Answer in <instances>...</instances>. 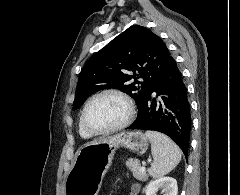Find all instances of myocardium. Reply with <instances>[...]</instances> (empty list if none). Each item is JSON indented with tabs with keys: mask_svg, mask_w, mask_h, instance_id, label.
Returning a JSON list of instances; mask_svg holds the SVG:
<instances>
[{
	"mask_svg": "<svg viewBox=\"0 0 240 195\" xmlns=\"http://www.w3.org/2000/svg\"><path fill=\"white\" fill-rule=\"evenodd\" d=\"M108 95H114V96L120 97L125 102V104L127 106L126 116L120 123H118L115 126H112L110 128L103 129V130H93L86 125L87 110L93 102H95L96 100H98L104 96H108ZM134 117H135V105H134L132 98L127 93H125L121 90L106 89V90L100 91L99 93L92 96L88 100V102L85 104L83 111H82V115H81V126L90 136L108 135V134H112V133L118 132V131L126 128L132 122Z\"/></svg>",
	"mask_w": 240,
	"mask_h": 195,
	"instance_id": "f54148a6",
	"label": "myocardium"
}]
</instances>
